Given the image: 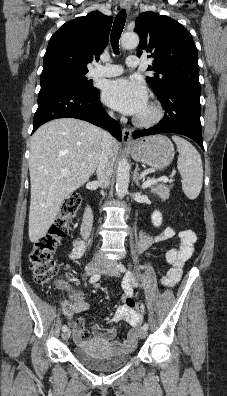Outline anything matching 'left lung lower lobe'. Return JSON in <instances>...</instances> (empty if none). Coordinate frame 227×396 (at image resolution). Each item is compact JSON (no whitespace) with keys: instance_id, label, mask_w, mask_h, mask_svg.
Instances as JSON below:
<instances>
[{"instance_id":"obj_1","label":"left lung lower lobe","mask_w":227,"mask_h":396,"mask_svg":"<svg viewBox=\"0 0 227 396\" xmlns=\"http://www.w3.org/2000/svg\"><path fill=\"white\" fill-rule=\"evenodd\" d=\"M200 93L201 87H174L159 96L166 114L158 125L146 129L136 130L134 138L160 133H177L194 140L202 149V131L200 122Z\"/></svg>"}]
</instances>
